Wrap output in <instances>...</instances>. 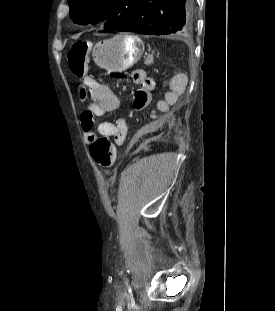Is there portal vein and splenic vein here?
Segmentation results:
<instances>
[{
	"instance_id": "1",
	"label": "portal vein and splenic vein",
	"mask_w": 275,
	"mask_h": 311,
	"mask_svg": "<svg viewBox=\"0 0 275 311\" xmlns=\"http://www.w3.org/2000/svg\"><path fill=\"white\" fill-rule=\"evenodd\" d=\"M152 62H153V56H152V55H148L146 64H150V63H152Z\"/></svg>"
}]
</instances>
